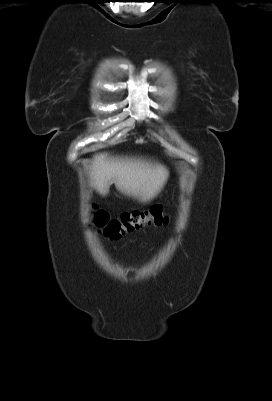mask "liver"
<instances>
[{
	"label": "liver",
	"instance_id": "1",
	"mask_svg": "<svg viewBox=\"0 0 272 401\" xmlns=\"http://www.w3.org/2000/svg\"><path fill=\"white\" fill-rule=\"evenodd\" d=\"M168 177L169 171L161 164L100 153L94 157L90 181L102 195L115 184L120 192L146 202L161 191Z\"/></svg>",
	"mask_w": 272,
	"mask_h": 401
}]
</instances>
